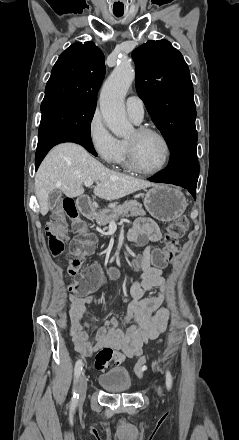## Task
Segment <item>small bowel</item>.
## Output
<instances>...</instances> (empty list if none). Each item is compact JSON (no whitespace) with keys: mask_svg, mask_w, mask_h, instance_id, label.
<instances>
[{"mask_svg":"<svg viewBox=\"0 0 239 440\" xmlns=\"http://www.w3.org/2000/svg\"><path fill=\"white\" fill-rule=\"evenodd\" d=\"M128 237L139 245L149 242H157L161 238V232L157 224L148 217L138 218ZM154 251L153 245H149L143 252L141 261L142 273L132 284L127 303L124 322L127 325L123 330L120 327L119 317L114 314L108 320L99 324L92 337L88 328L90 323L88 306L95 300V295L85 296L96 286L89 288L84 293L75 289V283L69 286L71 309L68 311V332L74 344L75 350L83 356H90L102 349H110L115 354L114 364H121L127 358L140 356L144 345L150 340H158L160 334L166 331L170 316L169 309L165 306L166 278L163 276L161 267L151 264ZM158 288L159 294L153 297H145V293Z\"/></svg>","mask_w":239,"mask_h":440,"instance_id":"1","label":"small bowel"}]
</instances>
